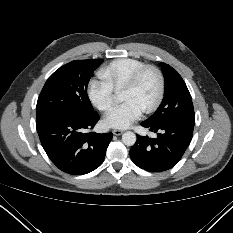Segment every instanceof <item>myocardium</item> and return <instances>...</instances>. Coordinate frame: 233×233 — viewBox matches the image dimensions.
Segmentation results:
<instances>
[{"label":"myocardium","instance_id":"myocardium-1","mask_svg":"<svg viewBox=\"0 0 233 233\" xmlns=\"http://www.w3.org/2000/svg\"><path fill=\"white\" fill-rule=\"evenodd\" d=\"M152 72L156 75L158 80V92L155 100L150 104L146 109H144L145 113H152L158 109V107L161 105L164 95H165V77L163 72L155 65H144L138 70H136L132 76L128 79V81L123 86L124 88H135L137 87L142 78L145 76V74Z\"/></svg>","mask_w":233,"mask_h":233}]
</instances>
